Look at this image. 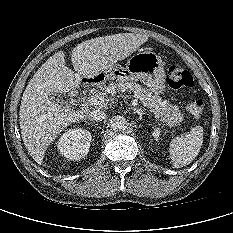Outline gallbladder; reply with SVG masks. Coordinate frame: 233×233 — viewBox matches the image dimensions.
<instances>
[{
	"label": "gallbladder",
	"instance_id": "bac80fb5",
	"mask_svg": "<svg viewBox=\"0 0 233 233\" xmlns=\"http://www.w3.org/2000/svg\"><path fill=\"white\" fill-rule=\"evenodd\" d=\"M52 101L58 103L61 106L66 105V100L63 98L61 94L50 95Z\"/></svg>",
	"mask_w": 233,
	"mask_h": 233
}]
</instances>
